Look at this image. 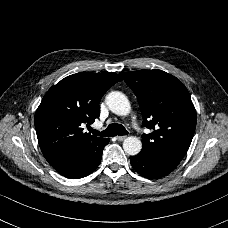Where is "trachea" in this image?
<instances>
[{
    "label": "trachea",
    "mask_w": 228,
    "mask_h": 228,
    "mask_svg": "<svg viewBox=\"0 0 228 228\" xmlns=\"http://www.w3.org/2000/svg\"><path fill=\"white\" fill-rule=\"evenodd\" d=\"M88 130L95 136H103V137H113L116 135L124 136L128 134V131L125 129V127L122 124H118V123L109 124L108 127L102 132H99L98 130H94L91 127H88Z\"/></svg>",
    "instance_id": "3493384b"
}]
</instances>
